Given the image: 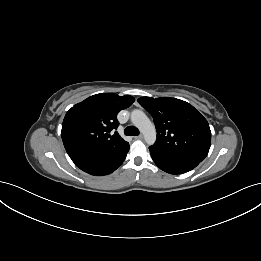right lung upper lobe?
<instances>
[{
  "mask_svg": "<svg viewBox=\"0 0 261 261\" xmlns=\"http://www.w3.org/2000/svg\"><path fill=\"white\" fill-rule=\"evenodd\" d=\"M134 100L130 95L100 93L70 108L61 131L68 155L85 150H114L127 145L117 131L111 132L119 125L117 114Z\"/></svg>",
  "mask_w": 261,
  "mask_h": 261,
  "instance_id": "obj_1",
  "label": "right lung upper lobe"
}]
</instances>
